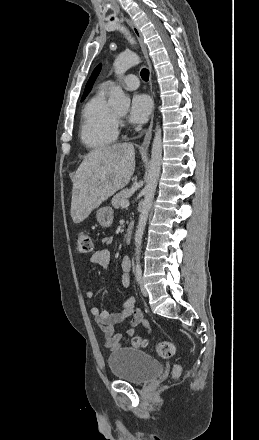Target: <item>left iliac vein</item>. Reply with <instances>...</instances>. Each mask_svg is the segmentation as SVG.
Segmentation results:
<instances>
[{"instance_id": "left-iliac-vein-1", "label": "left iliac vein", "mask_w": 259, "mask_h": 440, "mask_svg": "<svg viewBox=\"0 0 259 440\" xmlns=\"http://www.w3.org/2000/svg\"><path fill=\"white\" fill-rule=\"evenodd\" d=\"M140 291H141V293H142L143 296H145V297L148 296V291H147V289L145 288V286H144L142 280H141V282H140Z\"/></svg>"}]
</instances>
